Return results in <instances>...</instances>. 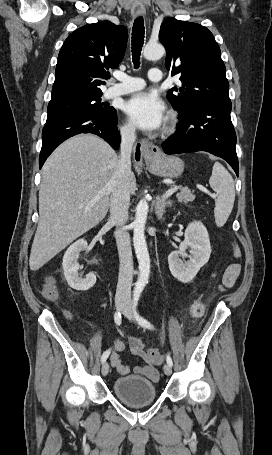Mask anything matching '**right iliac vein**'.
<instances>
[{
	"label": "right iliac vein",
	"instance_id": "63e3f726",
	"mask_svg": "<svg viewBox=\"0 0 272 455\" xmlns=\"http://www.w3.org/2000/svg\"><path fill=\"white\" fill-rule=\"evenodd\" d=\"M126 300L123 298H118L116 300V308L117 310L121 311L123 307L125 306ZM109 372V364L107 362H104L102 365V374L103 376H106Z\"/></svg>",
	"mask_w": 272,
	"mask_h": 455
}]
</instances>
